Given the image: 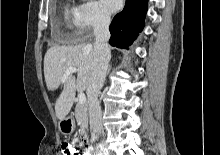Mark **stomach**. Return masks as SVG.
I'll list each match as a JSON object with an SVG mask.
<instances>
[{
    "label": "stomach",
    "instance_id": "obj_1",
    "mask_svg": "<svg viewBox=\"0 0 220 155\" xmlns=\"http://www.w3.org/2000/svg\"><path fill=\"white\" fill-rule=\"evenodd\" d=\"M59 130L64 135H69L75 130V121L72 116L65 117L59 122Z\"/></svg>",
    "mask_w": 220,
    "mask_h": 155
}]
</instances>
